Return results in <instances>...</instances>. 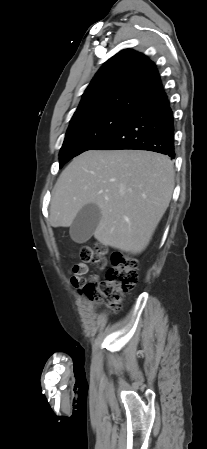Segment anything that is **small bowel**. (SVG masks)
Segmentation results:
<instances>
[{"instance_id": "c3829d8e", "label": "small bowel", "mask_w": 207, "mask_h": 449, "mask_svg": "<svg viewBox=\"0 0 207 449\" xmlns=\"http://www.w3.org/2000/svg\"><path fill=\"white\" fill-rule=\"evenodd\" d=\"M71 277L69 283L73 286H78L83 281V276L88 272V266L86 263H77L71 267Z\"/></svg>"}]
</instances>
